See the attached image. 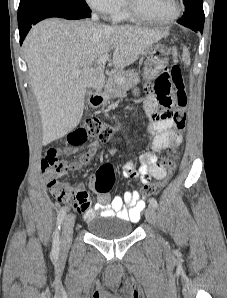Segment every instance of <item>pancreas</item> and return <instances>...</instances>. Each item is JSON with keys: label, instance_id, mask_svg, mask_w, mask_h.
<instances>
[{"label": "pancreas", "instance_id": "cf45deb5", "mask_svg": "<svg viewBox=\"0 0 227 298\" xmlns=\"http://www.w3.org/2000/svg\"><path fill=\"white\" fill-rule=\"evenodd\" d=\"M118 78L122 81H117ZM139 81V74L133 69L127 71L120 70L108 79L105 86V96L107 99L119 97L127 90L137 85ZM106 104L107 102L104 103V105Z\"/></svg>", "mask_w": 227, "mask_h": 298}]
</instances>
